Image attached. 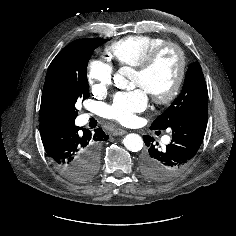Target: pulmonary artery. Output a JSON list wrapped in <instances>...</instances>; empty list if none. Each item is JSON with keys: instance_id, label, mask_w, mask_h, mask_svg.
I'll return each mask as SVG.
<instances>
[{"instance_id": "1", "label": "pulmonary artery", "mask_w": 236, "mask_h": 236, "mask_svg": "<svg viewBox=\"0 0 236 236\" xmlns=\"http://www.w3.org/2000/svg\"><path fill=\"white\" fill-rule=\"evenodd\" d=\"M169 141H170L169 136L164 137V142H169Z\"/></svg>"}]
</instances>
